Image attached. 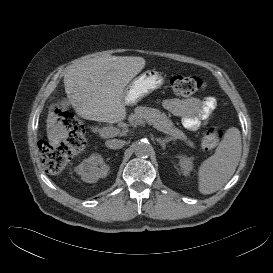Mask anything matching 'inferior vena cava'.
Here are the masks:
<instances>
[{
	"label": "inferior vena cava",
	"mask_w": 273,
	"mask_h": 273,
	"mask_svg": "<svg viewBox=\"0 0 273 273\" xmlns=\"http://www.w3.org/2000/svg\"><path fill=\"white\" fill-rule=\"evenodd\" d=\"M124 144L125 141L118 139L107 140L105 142L106 147L109 149H120L124 146Z\"/></svg>",
	"instance_id": "obj_1"
}]
</instances>
